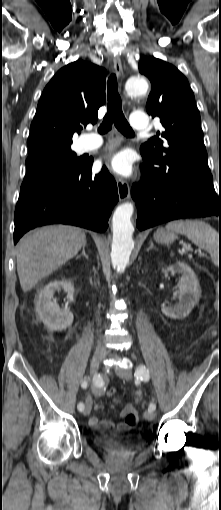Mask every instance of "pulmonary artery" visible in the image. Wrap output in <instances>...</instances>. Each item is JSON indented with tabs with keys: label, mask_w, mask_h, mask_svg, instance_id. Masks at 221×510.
Instances as JSON below:
<instances>
[{
	"label": "pulmonary artery",
	"mask_w": 221,
	"mask_h": 510,
	"mask_svg": "<svg viewBox=\"0 0 221 510\" xmlns=\"http://www.w3.org/2000/svg\"><path fill=\"white\" fill-rule=\"evenodd\" d=\"M130 125L133 129L144 130L148 125L147 117L142 112H134L130 117ZM102 145V139L96 134H89L84 144L85 151H91Z\"/></svg>",
	"instance_id": "pulmonary-artery-1"
}]
</instances>
